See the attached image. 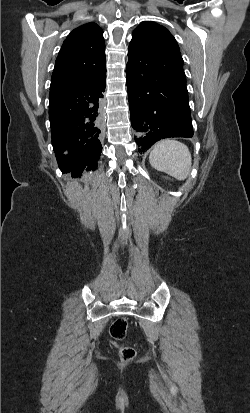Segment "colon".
<instances>
[{
    "mask_svg": "<svg viewBox=\"0 0 250 413\" xmlns=\"http://www.w3.org/2000/svg\"><path fill=\"white\" fill-rule=\"evenodd\" d=\"M164 181H172L173 177L172 176H164L163 177ZM127 328H128V322L125 318H117L111 328H110V334L111 337L115 340V341H121L125 338L126 334H127ZM119 356L120 359L123 362H129L131 360H133L136 356V351L133 347L128 346V345H120L119 346Z\"/></svg>",
    "mask_w": 250,
    "mask_h": 413,
    "instance_id": "5ec220e1",
    "label": "colon"
}]
</instances>
